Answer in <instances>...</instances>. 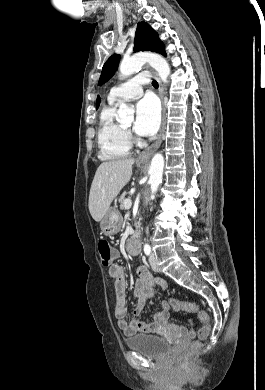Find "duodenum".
Returning <instances> with one entry per match:
<instances>
[{
  "label": "duodenum",
  "mask_w": 265,
  "mask_h": 390,
  "mask_svg": "<svg viewBox=\"0 0 265 390\" xmlns=\"http://www.w3.org/2000/svg\"><path fill=\"white\" fill-rule=\"evenodd\" d=\"M140 233L138 230L135 231L133 236L131 237L130 240L126 243V248L130 253L138 254L141 248L140 245Z\"/></svg>",
  "instance_id": "410a0bca"
}]
</instances>
